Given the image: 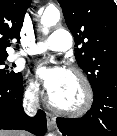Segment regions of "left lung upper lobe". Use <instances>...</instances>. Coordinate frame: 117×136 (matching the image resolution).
Segmentation results:
<instances>
[{"label": "left lung upper lobe", "instance_id": "obj_1", "mask_svg": "<svg viewBox=\"0 0 117 136\" xmlns=\"http://www.w3.org/2000/svg\"><path fill=\"white\" fill-rule=\"evenodd\" d=\"M58 2L75 39V58L95 92L117 78V6L113 0Z\"/></svg>", "mask_w": 117, "mask_h": 136}]
</instances>
